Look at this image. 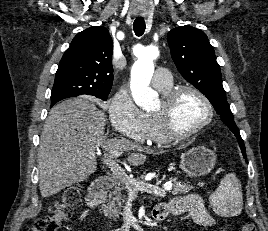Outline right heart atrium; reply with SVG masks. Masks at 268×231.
Segmentation results:
<instances>
[{"label":"right heart atrium","mask_w":268,"mask_h":231,"mask_svg":"<svg viewBox=\"0 0 268 231\" xmlns=\"http://www.w3.org/2000/svg\"><path fill=\"white\" fill-rule=\"evenodd\" d=\"M108 115L116 132L137 142L148 141L146 116L137 107L128 90L121 88L112 96Z\"/></svg>","instance_id":"d8ad5b80"}]
</instances>
